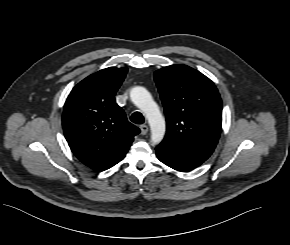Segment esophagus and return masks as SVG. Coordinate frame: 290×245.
<instances>
[{
    "mask_svg": "<svg viewBox=\"0 0 290 245\" xmlns=\"http://www.w3.org/2000/svg\"><path fill=\"white\" fill-rule=\"evenodd\" d=\"M140 130H141V134L145 135V134L148 133L149 128H148V126L146 124H143V125L140 126Z\"/></svg>",
    "mask_w": 290,
    "mask_h": 245,
    "instance_id": "esophagus-1",
    "label": "esophagus"
}]
</instances>
